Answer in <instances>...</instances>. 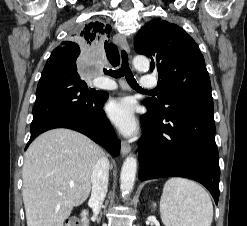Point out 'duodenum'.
<instances>
[{
	"instance_id": "duodenum-1",
	"label": "duodenum",
	"mask_w": 247,
	"mask_h": 226,
	"mask_svg": "<svg viewBox=\"0 0 247 226\" xmlns=\"http://www.w3.org/2000/svg\"><path fill=\"white\" fill-rule=\"evenodd\" d=\"M81 223L82 226H89V217H88V211H83L81 214Z\"/></svg>"
}]
</instances>
